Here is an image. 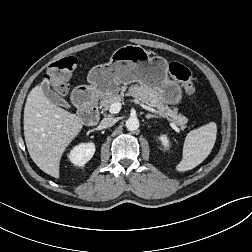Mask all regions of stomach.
Segmentation results:
<instances>
[{
  "label": "stomach",
  "instance_id": "1",
  "mask_svg": "<svg viewBox=\"0 0 252 252\" xmlns=\"http://www.w3.org/2000/svg\"><path fill=\"white\" fill-rule=\"evenodd\" d=\"M89 85H80L74 92H87L102 98L116 95L120 84L138 82L163 96L164 104L177 105L183 94L181 86L168 77V62L150 56L139 45H125L113 52L110 61L93 67L87 76Z\"/></svg>",
  "mask_w": 252,
  "mask_h": 252
}]
</instances>
